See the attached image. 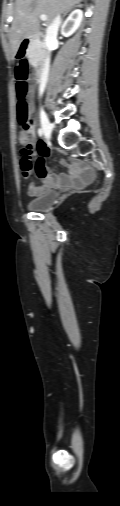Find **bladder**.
<instances>
[{
	"mask_svg": "<svg viewBox=\"0 0 120 506\" xmlns=\"http://www.w3.org/2000/svg\"><path fill=\"white\" fill-rule=\"evenodd\" d=\"M58 193L49 191L43 195L31 198L27 201V208L35 212H44L51 208L57 201Z\"/></svg>",
	"mask_w": 120,
	"mask_h": 506,
	"instance_id": "obj_1",
	"label": "bladder"
}]
</instances>
